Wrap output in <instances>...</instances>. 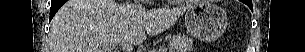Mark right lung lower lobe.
Returning a JSON list of instances; mask_svg holds the SVG:
<instances>
[{
    "label": "right lung lower lobe",
    "mask_w": 305,
    "mask_h": 52,
    "mask_svg": "<svg viewBox=\"0 0 305 52\" xmlns=\"http://www.w3.org/2000/svg\"><path fill=\"white\" fill-rule=\"evenodd\" d=\"M66 2V0H52L51 8H50V20L53 18V16L56 14V12L59 10V8Z\"/></svg>",
    "instance_id": "right-lung-lower-lobe-1"
}]
</instances>
